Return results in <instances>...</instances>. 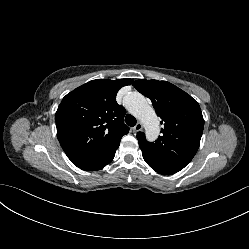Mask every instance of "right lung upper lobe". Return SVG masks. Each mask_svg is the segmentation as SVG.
I'll list each match as a JSON object with an SVG mask.
<instances>
[{"label":"right lung upper lobe","mask_w":249,"mask_h":249,"mask_svg":"<svg viewBox=\"0 0 249 249\" xmlns=\"http://www.w3.org/2000/svg\"><path fill=\"white\" fill-rule=\"evenodd\" d=\"M132 79H96L67 94L55 119L58 140L67 156L96 153L118 143L129 132L126 110L116 102L118 90Z\"/></svg>","instance_id":"cb5924a9"}]
</instances>
